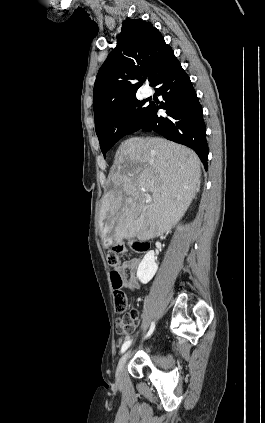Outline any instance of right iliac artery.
Returning a JSON list of instances; mask_svg holds the SVG:
<instances>
[{"label":"right iliac artery","mask_w":265,"mask_h":423,"mask_svg":"<svg viewBox=\"0 0 265 423\" xmlns=\"http://www.w3.org/2000/svg\"><path fill=\"white\" fill-rule=\"evenodd\" d=\"M154 328H155V324H154V322H152L151 327H150V329H149V331H148V333L145 337L150 336L152 334ZM131 342H132L131 340H127V341L124 342V344L122 345V348H121V353H124L128 349V347L131 345Z\"/></svg>","instance_id":"82829eb1"}]
</instances>
